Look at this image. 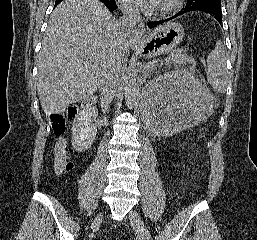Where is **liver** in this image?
I'll list each match as a JSON object with an SVG mask.
<instances>
[{
    "label": "liver",
    "mask_w": 257,
    "mask_h": 240,
    "mask_svg": "<svg viewBox=\"0 0 257 240\" xmlns=\"http://www.w3.org/2000/svg\"><path fill=\"white\" fill-rule=\"evenodd\" d=\"M117 20L99 0H64L50 16L39 53L37 91L46 115L95 93L118 53Z\"/></svg>",
    "instance_id": "1"
}]
</instances>
